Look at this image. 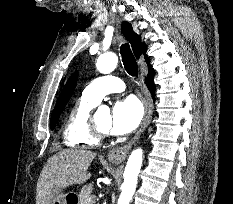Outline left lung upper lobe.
<instances>
[{
    "mask_svg": "<svg viewBox=\"0 0 233 204\" xmlns=\"http://www.w3.org/2000/svg\"><path fill=\"white\" fill-rule=\"evenodd\" d=\"M77 79H78V73L75 72L68 79L61 95L59 96L57 100L55 109L53 110L52 115H51V129L52 130L55 128L61 112L63 111L64 107L66 106L67 102L69 101L71 95L74 92Z\"/></svg>",
    "mask_w": 233,
    "mask_h": 204,
    "instance_id": "1",
    "label": "left lung upper lobe"
}]
</instances>
